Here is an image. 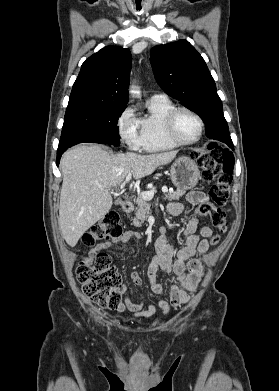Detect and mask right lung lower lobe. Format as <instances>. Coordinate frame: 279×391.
Listing matches in <instances>:
<instances>
[{
    "label": "right lung lower lobe",
    "mask_w": 279,
    "mask_h": 391,
    "mask_svg": "<svg viewBox=\"0 0 279 391\" xmlns=\"http://www.w3.org/2000/svg\"><path fill=\"white\" fill-rule=\"evenodd\" d=\"M95 143H108V144H113V145H116V146H117V145L120 144V141H119V139H116V138H113V137H104V138H101V139L96 140ZM67 149H68V147L58 148V150H57V160H56L57 166L59 165L61 155H62Z\"/></svg>",
    "instance_id": "1"
}]
</instances>
